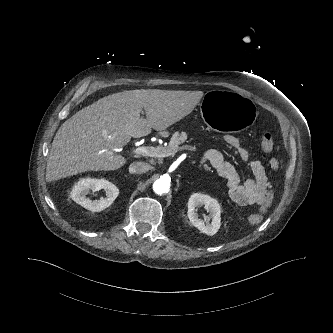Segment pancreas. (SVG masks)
Here are the masks:
<instances>
[{
    "label": "pancreas",
    "mask_w": 333,
    "mask_h": 333,
    "mask_svg": "<svg viewBox=\"0 0 333 333\" xmlns=\"http://www.w3.org/2000/svg\"><path fill=\"white\" fill-rule=\"evenodd\" d=\"M187 139V134L185 132H175L170 140V143L167 147V149H175L178 150V145L185 142Z\"/></svg>",
    "instance_id": "1"
}]
</instances>
